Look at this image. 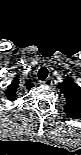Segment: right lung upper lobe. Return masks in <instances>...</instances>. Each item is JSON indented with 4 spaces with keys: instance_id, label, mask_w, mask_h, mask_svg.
<instances>
[{
    "instance_id": "right-lung-upper-lobe-1",
    "label": "right lung upper lobe",
    "mask_w": 81,
    "mask_h": 155,
    "mask_svg": "<svg viewBox=\"0 0 81 155\" xmlns=\"http://www.w3.org/2000/svg\"><path fill=\"white\" fill-rule=\"evenodd\" d=\"M18 78L19 76L14 78L13 82L8 86L7 90H5V95L10 101L16 100V92L20 83ZM24 86H26L27 89L34 87V85L30 82H25Z\"/></svg>"
}]
</instances>
